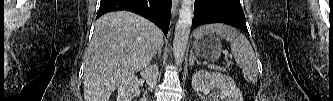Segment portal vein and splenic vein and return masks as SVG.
I'll return each instance as SVG.
<instances>
[{
	"label": "portal vein and splenic vein",
	"mask_w": 333,
	"mask_h": 101,
	"mask_svg": "<svg viewBox=\"0 0 333 101\" xmlns=\"http://www.w3.org/2000/svg\"><path fill=\"white\" fill-rule=\"evenodd\" d=\"M230 58H231V56H230ZM209 67L219 69V67L214 66V65H209Z\"/></svg>",
	"instance_id": "obj_1"
}]
</instances>
